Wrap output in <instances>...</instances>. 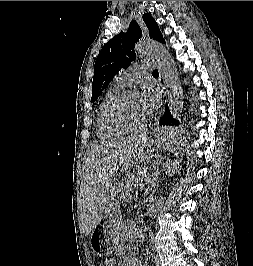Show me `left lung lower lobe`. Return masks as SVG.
Instances as JSON below:
<instances>
[{
    "label": "left lung lower lobe",
    "mask_w": 253,
    "mask_h": 266,
    "mask_svg": "<svg viewBox=\"0 0 253 266\" xmlns=\"http://www.w3.org/2000/svg\"><path fill=\"white\" fill-rule=\"evenodd\" d=\"M165 43V42H164ZM160 125L171 127V126H178L179 121L176 120L169 111L168 105L166 104V109L163 117L159 121Z\"/></svg>",
    "instance_id": "left-lung-lower-lobe-1"
}]
</instances>
